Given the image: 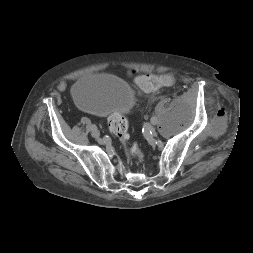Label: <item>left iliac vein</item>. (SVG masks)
Returning <instances> with one entry per match:
<instances>
[{"mask_svg": "<svg viewBox=\"0 0 253 253\" xmlns=\"http://www.w3.org/2000/svg\"><path fill=\"white\" fill-rule=\"evenodd\" d=\"M149 125V124H148ZM149 131H150V135H152V136H155L156 135V131H155V128L154 127H152L151 125H149Z\"/></svg>", "mask_w": 253, "mask_h": 253, "instance_id": "1", "label": "left iliac vein"}]
</instances>
